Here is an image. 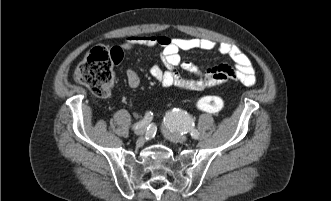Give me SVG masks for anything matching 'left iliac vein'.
Instances as JSON below:
<instances>
[{
    "mask_svg": "<svg viewBox=\"0 0 331 201\" xmlns=\"http://www.w3.org/2000/svg\"><path fill=\"white\" fill-rule=\"evenodd\" d=\"M164 136L174 143H183L187 141V136L181 135L179 133L165 132Z\"/></svg>",
    "mask_w": 331,
    "mask_h": 201,
    "instance_id": "left-iliac-vein-1",
    "label": "left iliac vein"
}]
</instances>
